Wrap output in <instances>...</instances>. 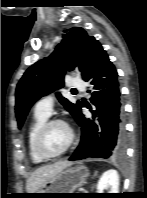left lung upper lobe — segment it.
I'll return each mask as SVG.
<instances>
[{"instance_id":"5c2ea615","label":"left lung upper lobe","mask_w":147,"mask_h":198,"mask_svg":"<svg viewBox=\"0 0 147 198\" xmlns=\"http://www.w3.org/2000/svg\"><path fill=\"white\" fill-rule=\"evenodd\" d=\"M66 32L54 52L31 66L17 85L15 112L19 128L22 127L30 107L36 100L63 87L64 69L72 70L78 66L83 79L86 76L95 38L89 36L81 27H73ZM57 98L77 121L81 103L73 104L60 93H57Z\"/></svg>"}]
</instances>
